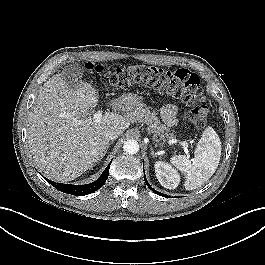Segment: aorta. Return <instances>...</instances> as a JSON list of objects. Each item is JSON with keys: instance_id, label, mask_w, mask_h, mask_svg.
I'll return each mask as SVG.
<instances>
[{"instance_id": "obj_1", "label": "aorta", "mask_w": 265, "mask_h": 265, "mask_svg": "<svg viewBox=\"0 0 265 265\" xmlns=\"http://www.w3.org/2000/svg\"><path fill=\"white\" fill-rule=\"evenodd\" d=\"M123 150L127 154H136L139 151V144L136 140H127L123 145Z\"/></svg>"}]
</instances>
